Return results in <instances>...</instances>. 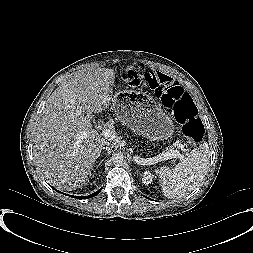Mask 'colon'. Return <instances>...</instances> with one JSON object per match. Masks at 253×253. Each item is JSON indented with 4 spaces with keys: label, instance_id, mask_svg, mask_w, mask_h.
<instances>
[{
    "label": "colon",
    "instance_id": "obj_1",
    "mask_svg": "<svg viewBox=\"0 0 253 253\" xmlns=\"http://www.w3.org/2000/svg\"><path fill=\"white\" fill-rule=\"evenodd\" d=\"M145 74L146 69L139 64L121 69L123 80L132 85H140ZM156 97L182 124L183 133L188 140L193 143L202 141L205 133L204 125L198 118L196 105L187 91L179 85H173L156 90Z\"/></svg>",
    "mask_w": 253,
    "mask_h": 253
}]
</instances>
